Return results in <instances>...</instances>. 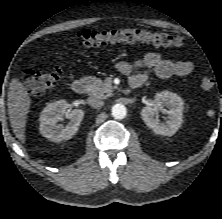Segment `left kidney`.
<instances>
[{
	"mask_svg": "<svg viewBox=\"0 0 222 219\" xmlns=\"http://www.w3.org/2000/svg\"><path fill=\"white\" fill-rule=\"evenodd\" d=\"M166 107L167 120L160 122L155 115L158 110ZM184 102L180 96L169 91H163L155 95L154 103L143 107L142 120L156 134L172 136L180 128L183 122Z\"/></svg>",
	"mask_w": 222,
	"mask_h": 219,
	"instance_id": "5707ae66",
	"label": "left kidney"
}]
</instances>
